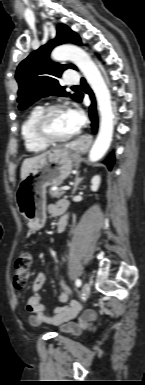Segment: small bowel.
<instances>
[{"label":"small bowel","instance_id":"small-bowel-1","mask_svg":"<svg viewBox=\"0 0 145 385\" xmlns=\"http://www.w3.org/2000/svg\"><path fill=\"white\" fill-rule=\"evenodd\" d=\"M69 207L67 200H60L57 203L51 204L48 207V212L51 216L57 217L62 215ZM46 281L44 272H39L32 282V296L28 299L26 308L32 313L29 317V322L32 325L49 324L54 327H59L62 332L77 334L81 330L87 328L96 318L94 310H85L81 312V305L71 300L68 304L56 307L50 311L40 300L38 294ZM61 293L58 295V300L61 303H67L70 300V288L63 282L60 283Z\"/></svg>","mask_w":145,"mask_h":385}]
</instances>
